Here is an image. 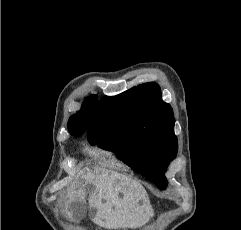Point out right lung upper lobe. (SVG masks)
<instances>
[{
	"instance_id": "obj_1",
	"label": "right lung upper lobe",
	"mask_w": 241,
	"mask_h": 230,
	"mask_svg": "<svg viewBox=\"0 0 241 230\" xmlns=\"http://www.w3.org/2000/svg\"><path fill=\"white\" fill-rule=\"evenodd\" d=\"M98 100L96 96L87 98L80 111L70 117L68 121V129L70 133L76 131H85L88 124L92 121Z\"/></svg>"
}]
</instances>
